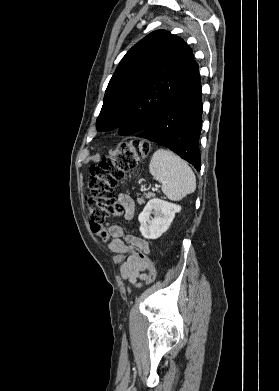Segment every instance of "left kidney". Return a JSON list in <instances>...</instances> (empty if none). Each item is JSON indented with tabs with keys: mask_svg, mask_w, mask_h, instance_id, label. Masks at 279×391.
<instances>
[{
	"mask_svg": "<svg viewBox=\"0 0 279 391\" xmlns=\"http://www.w3.org/2000/svg\"><path fill=\"white\" fill-rule=\"evenodd\" d=\"M181 206L158 198L148 201L139 214L140 232L146 239H157L170 227ZM154 214V218L151 217Z\"/></svg>",
	"mask_w": 279,
	"mask_h": 391,
	"instance_id": "1",
	"label": "left kidney"
}]
</instances>
